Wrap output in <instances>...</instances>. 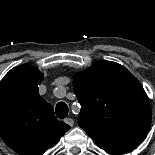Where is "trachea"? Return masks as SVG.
Returning a JSON list of instances; mask_svg holds the SVG:
<instances>
[{"mask_svg":"<svg viewBox=\"0 0 155 155\" xmlns=\"http://www.w3.org/2000/svg\"><path fill=\"white\" fill-rule=\"evenodd\" d=\"M68 115V106L64 102H59L56 105V116L60 119L66 118Z\"/></svg>","mask_w":155,"mask_h":155,"instance_id":"obj_1","label":"trachea"}]
</instances>
